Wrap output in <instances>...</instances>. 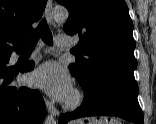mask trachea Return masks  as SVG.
Masks as SVG:
<instances>
[{"mask_svg":"<svg viewBox=\"0 0 156 124\" xmlns=\"http://www.w3.org/2000/svg\"><path fill=\"white\" fill-rule=\"evenodd\" d=\"M40 37L47 45H53L52 33L45 19L40 21L36 30L29 36L25 50H33Z\"/></svg>","mask_w":156,"mask_h":124,"instance_id":"3493384b","label":"trachea"}]
</instances>
